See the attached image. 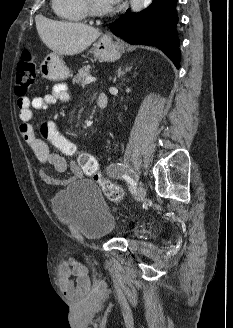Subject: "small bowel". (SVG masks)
<instances>
[{
  "label": "small bowel",
  "mask_w": 233,
  "mask_h": 328,
  "mask_svg": "<svg viewBox=\"0 0 233 328\" xmlns=\"http://www.w3.org/2000/svg\"><path fill=\"white\" fill-rule=\"evenodd\" d=\"M69 94L64 84H57L50 93L42 97H19L16 101L18 109V117L21 122L19 131L25 142L32 149L35 157L42 165H50L55 171L62 173L68 168L66 159L49 150L48 145L41 139L37 138L31 120L33 118V110H46L48 107L58 102H67ZM72 177L65 180L54 178L45 170L39 172L41 180L53 186H66L72 181L82 178L84 172L76 161L70 163ZM60 286L63 294L69 299H81L89 294L91 290V281L87 268L75 259H68L61 265L60 270Z\"/></svg>",
  "instance_id": "obj_1"
}]
</instances>
